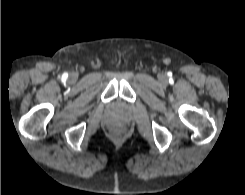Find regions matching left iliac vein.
<instances>
[{
    "instance_id": "1",
    "label": "left iliac vein",
    "mask_w": 245,
    "mask_h": 195,
    "mask_svg": "<svg viewBox=\"0 0 245 195\" xmlns=\"http://www.w3.org/2000/svg\"><path fill=\"white\" fill-rule=\"evenodd\" d=\"M160 79H161L162 81H165V80H166V78H165L164 75H162V76L160 77Z\"/></svg>"
}]
</instances>
